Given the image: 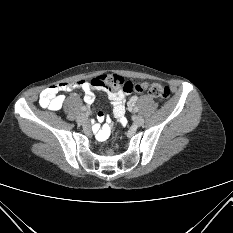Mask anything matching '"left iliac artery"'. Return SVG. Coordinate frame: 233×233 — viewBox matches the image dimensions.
Segmentation results:
<instances>
[{"instance_id":"44dca946","label":"left iliac artery","mask_w":233,"mask_h":233,"mask_svg":"<svg viewBox=\"0 0 233 233\" xmlns=\"http://www.w3.org/2000/svg\"><path fill=\"white\" fill-rule=\"evenodd\" d=\"M132 99H133L134 102L137 101V97L136 96H134ZM138 110L139 109L137 107L134 108V112H138Z\"/></svg>"}]
</instances>
